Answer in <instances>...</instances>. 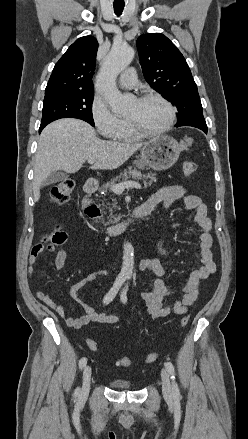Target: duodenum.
Returning <instances> with one entry per match:
<instances>
[{
  "label": "duodenum",
  "mask_w": 248,
  "mask_h": 439,
  "mask_svg": "<svg viewBox=\"0 0 248 439\" xmlns=\"http://www.w3.org/2000/svg\"><path fill=\"white\" fill-rule=\"evenodd\" d=\"M98 189V184L94 179H88L84 185V192L87 196L93 194ZM84 209L86 214L90 218H96L99 214V208L96 205L89 203L87 200L84 201ZM149 214V211L143 209L141 206L136 207L131 214L125 219L108 225L104 228L106 234L118 235L125 230H127L132 223L140 218H143Z\"/></svg>",
  "instance_id": "1"
}]
</instances>
